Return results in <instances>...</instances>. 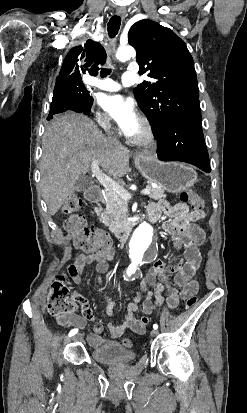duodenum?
<instances>
[{"mask_svg": "<svg viewBox=\"0 0 247 413\" xmlns=\"http://www.w3.org/2000/svg\"><path fill=\"white\" fill-rule=\"evenodd\" d=\"M104 195L103 189L98 185L91 186L85 193V197L89 202L100 203ZM132 229V223L129 222L126 226L114 231V236L119 245H125L128 236Z\"/></svg>", "mask_w": 247, "mask_h": 413, "instance_id": "duodenum-1", "label": "duodenum"}]
</instances>
